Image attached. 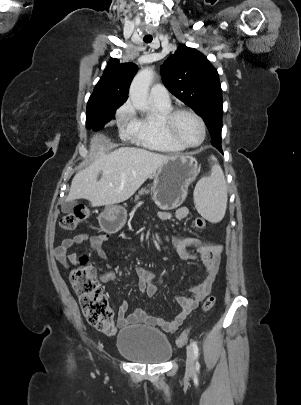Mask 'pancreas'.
I'll list each match as a JSON object with an SVG mask.
<instances>
[{
    "label": "pancreas",
    "mask_w": 301,
    "mask_h": 405,
    "mask_svg": "<svg viewBox=\"0 0 301 405\" xmlns=\"http://www.w3.org/2000/svg\"><path fill=\"white\" fill-rule=\"evenodd\" d=\"M148 193H149V191H148V190H145V189H141V190L139 191V194H140V195L148 194Z\"/></svg>",
    "instance_id": "obj_1"
}]
</instances>
